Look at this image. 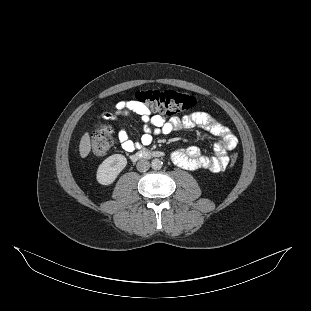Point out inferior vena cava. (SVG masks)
Returning a JSON list of instances; mask_svg holds the SVG:
<instances>
[{"instance_id": "1", "label": "inferior vena cava", "mask_w": 311, "mask_h": 311, "mask_svg": "<svg viewBox=\"0 0 311 311\" xmlns=\"http://www.w3.org/2000/svg\"><path fill=\"white\" fill-rule=\"evenodd\" d=\"M136 167L139 172H146L150 168V162L146 159H141Z\"/></svg>"}]
</instances>
